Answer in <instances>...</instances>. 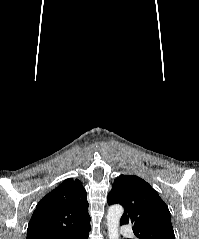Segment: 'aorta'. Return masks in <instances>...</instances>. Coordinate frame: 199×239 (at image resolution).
Returning <instances> with one entry per match:
<instances>
[{"instance_id":"aorta-1","label":"aorta","mask_w":199,"mask_h":239,"mask_svg":"<svg viewBox=\"0 0 199 239\" xmlns=\"http://www.w3.org/2000/svg\"><path fill=\"white\" fill-rule=\"evenodd\" d=\"M124 209L120 205H113L109 208L107 214V228L109 239H120L119 224Z\"/></svg>"}]
</instances>
